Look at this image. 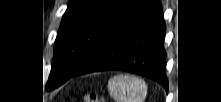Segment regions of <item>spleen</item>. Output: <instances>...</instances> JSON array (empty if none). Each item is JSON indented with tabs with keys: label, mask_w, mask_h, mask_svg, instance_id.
Instances as JSON below:
<instances>
[{
	"label": "spleen",
	"mask_w": 221,
	"mask_h": 102,
	"mask_svg": "<svg viewBox=\"0 0 221 102\" xmlns=\"http://www.w3.org/2000/svg\"><path fill=\"white\" fill-rule=\"evenodd\" d=\"M108 90L116 102H144L147 95L144 80L124 74L110 78Z\"/></svg>",
	"instance_id": "1"
}]
</instances>
